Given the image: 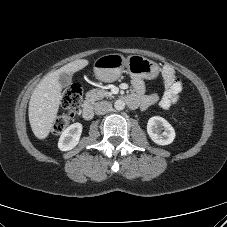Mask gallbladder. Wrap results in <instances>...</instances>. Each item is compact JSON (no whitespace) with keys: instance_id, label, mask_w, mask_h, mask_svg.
Here are the masks:
<instances>
[{"instance_id":"gallbladder-1","label":"gallbladder","mask_w":227,"mask_h":227,"mask_svg":"<svg viewBox=\"0 0 227 227\" xmlns=\"http://www.w3.org/2000/svg\"><path fill=\"white\" fill-rule=\"evenodd\" d=\"M72 81V76L70 73H61L59 75V83L62 87H67Z\"/></svg>"}]
</instances>
